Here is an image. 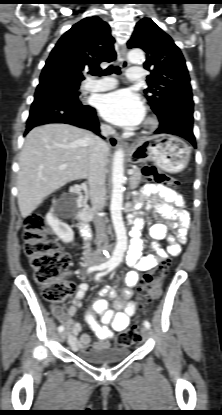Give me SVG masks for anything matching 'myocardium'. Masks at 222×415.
<instances>
[{
	"mask_svg": "<svg viewBox=\"0 0 222 415\" xmlns=\"http://www.w3.org/2000/svg\"><path fill=\"white\" fill-rule=\"evenodd\" d=\"M156 125H157L156 119L153 118V117L148 116V117H146L144 119L143 124H142V127L145 130H151V129L155 128Z\"/></svg>",
	"mask_w": 222,
	"mask_h": 415,
	"instance_id": "obj_1",
	"label": "myocardium"
}]
</instances>
